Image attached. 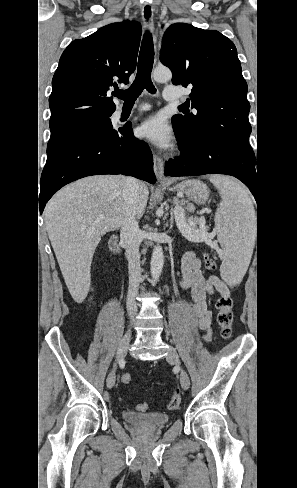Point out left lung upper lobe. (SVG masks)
Masks as SVG:
<instances>
[{
	"label": "left lung upper lobe",
	"mask_w": 297,
	"mask_h": 488,
	"mask_svg": "<svg viewBox=\"0 0 297 488\" xmlns=\"http://www.w3.org/2000/svg\"><path fill=\"white\" fill-rule=\"evenodd\" d=\"M160 59L172 71V83L193 86L191 107L174 115L172 124L183 142L218 139L251 148L250 104L237 50L215 30L175 23L165 32Z\"/></svg>",
	"instance_id": "1"
}]
</instances>
